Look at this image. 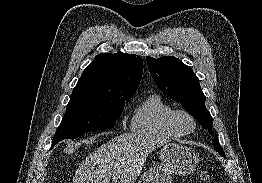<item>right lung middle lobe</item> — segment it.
Wrapping results in <instances>:
<instances>
[{"instance_id":"dd1d6c3e","label":"right lung middle lobe","mask_w":262,"mask_h":183,"mask_svg":"<svg viewBox=\"0 0 262 183\" xmlns=\"http://www.w3.org/2000/svg\"><path fill=\"white\" fill-rule=\"evenodd\" d=\"M129 100L130 98L71 96L66 113L54 135L52 145L63 139L77 138L87 131L111 129Z\"/></svg>"}]
</instances>
